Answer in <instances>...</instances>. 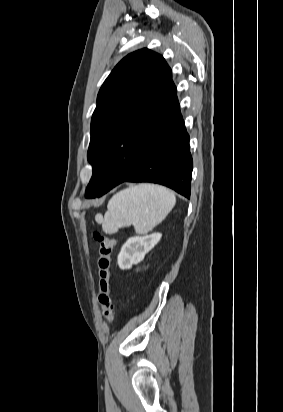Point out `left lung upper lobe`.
I'll return each instance as SVG.
<instances>
[{"mask_svg":"<svg viewBox=\"0 0 283 412\" xmlns=\"http://www.w3.org/2000/svg\"><path fill=\"white\" fill-rule=\"evenodd\" d=\"M177 101L172 73L162 56L148 49L123 58L102 85L91 122L87 153L92 169L102 151L138 162L157 125ZM100 183L90 180L86 198H95Z\"/></svg>","mask_w":283,"mask_h":412,"instance_id":"1","label":"left lung upper lobe"}]
</instances>
